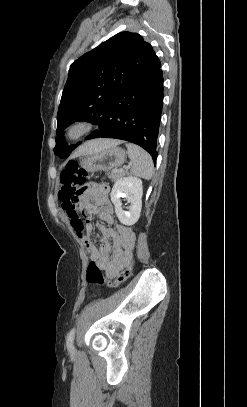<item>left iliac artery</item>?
I'll return each mask as SVG.
<instances>
[{"instance_id":"obj_1","label":"left iliac artery","mask_w":247,"mask_h":407,"mask_svg":"<svg viewBox=\"0 0 247 407\" xmlns=\"http://www.w3.org/2000/svg\"><path fill=\"white\" fill-rule=\"evenodd\" d=\"M74 335H75V328H72L70 330V332L68 333L67 341H66V345H67L68 350H71L72 347H73Z\"/></svg>"}]
</instances>
